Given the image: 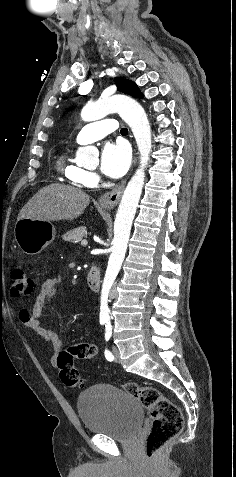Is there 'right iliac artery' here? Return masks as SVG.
Masks as SVG:
<instances>
[{
    "instance_id": "1",
    "label": "right iliac artery",
    "mask_w": 236,
    "mask_h": 477,
    "mask_svg": "<svg viewBox=\"0 0 236 477\" xmlns=\"http://www.w3.org/2000/svg\"><path fill=\"white\" fill-rule=\"evenodd\" d=\"M101 324H104L105 322H100Z\"/></svg>"
}]
</instances>
